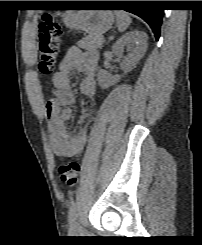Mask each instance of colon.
I'll use <instances>...</instances> for the list:
<instances>
[{
  "mask_svg": "<svg viewBox=\"0 0 202 245\" xmlns=\"http://www.w3.org/2000/svg\"><path fill=\"white\" fill-rule=\"evenodd\" d=\"M62 26L51 15H44L38 24V42H39V72L48 76L54 72L56 60L62 46ZM81 172V166L77 159H71L62 162L58 167V173L61 180L75 186Z\"/></svg>",
  "mask_w": 202,
  "mask_h": 245,
  "instance_id": "1",
  "label": "colon"
}]
</instances>
